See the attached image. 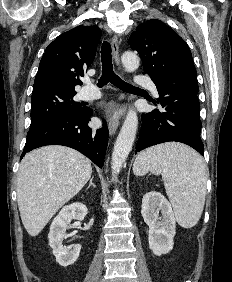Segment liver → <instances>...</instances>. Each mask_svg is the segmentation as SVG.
I'll return each instance as SVG.
<instances>
[{"label": "liver", "mask_w": 232, "mask_h": 282, "mask_svg": "<svg viewBox=\"0 0 232 282\" xmlns=\"http://www.w3.org/2000/svg\"><path fill=\"white\" fill-rule=\"evenodd\" d=\"M91 174L90 160L72 148L51 145L26 154L18 172L17 201L28 234L38 235Z\"/></svg>", "instance_id": "liver-1"}]
</instances>
